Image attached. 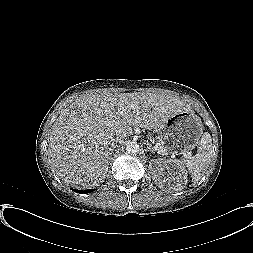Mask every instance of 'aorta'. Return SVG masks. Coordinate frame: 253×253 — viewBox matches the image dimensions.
Wrapping results in <instances>:
<instances>
[{"label":"aorta","instance_id":"obj_1","mask_svg":"<svg viewBox=\"0 0 253 253\" xmlns=\"http://www.w3.org/2000/svg\"><path fill=\"white\" fill-rule=\"evenodd\" d=\"M126 151L129 154H137L140 151V146L136 142H130L126 147Z\"/></svg>","mask_w":253,"mask_h":253}]
</instances>
